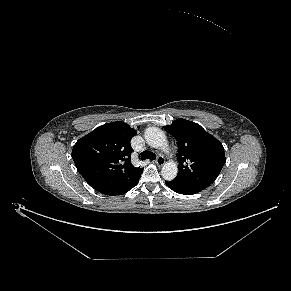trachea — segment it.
Instances as JSON below:
<instances>
[{
  "label": "trachea",
  "mask_w": 291,
  "mask_h": 291,
  "mask_svg": "<svg viewBox=\"0 0 291 291\" xmlns=\"http://www.w3.org/2000/svg\"><path fill=\"white\" fill-rule=\"evenodd\" d=\"M146 159H149V160H155L156 159V155L155 153L151 152V151H143L141 153V160H146Z\"/></svg>",
  "instance_id": "obj_1"
}]
</instances>
